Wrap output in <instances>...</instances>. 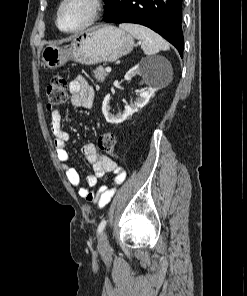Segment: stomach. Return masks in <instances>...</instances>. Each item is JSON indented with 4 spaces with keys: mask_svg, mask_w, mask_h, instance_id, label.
Returning a JSON list of instances; mask_svg holds the SVG:
<instances>
[{
    "mask_svg": "<svg viewBox=\"0 0 247 296\" xmlns=\"http://www.w3.org/2000/svg\"><path fill=\"white\" fill-rule=\"evenodd\" d=\"M133 47L134 39L130 34L112 25H103L77 34L68 47H44L41 60L49 69L61 67L70 60L95 65L113 62L129 54Z\"/></svg>",
    "mask_w": 247,
    "mask_h": 296,
    "instance_id": "0dacf381",
    "label": "stomach"
}]
</instances>
